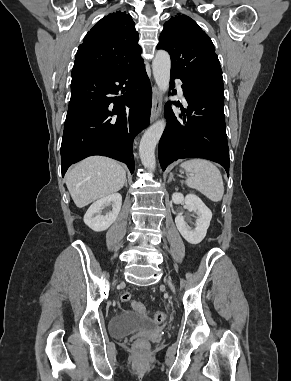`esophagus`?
<instances>
[{"label": "esophagus", "mask_w": 291, "mask_h": 381, "mask_svg": "<svg viewBox=\"0 0 291 381\" xmlns=\"http://www.w3.org/2000/svg\"><path fill=\"white\" fill-rule=\"evenodd\" d=\"M162 110V94L154 85L152 88V104H151V122L155 121L161 114Z\"/></svg>", "instance_id": "34e87169"}]
</instances>
